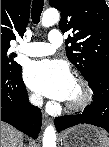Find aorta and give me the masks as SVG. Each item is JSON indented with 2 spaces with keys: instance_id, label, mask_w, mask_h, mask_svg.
<instances>
[{
  "instance_id": "1",
  "label": "aorta",
  "mask_w": 109,
  "mask_h": 147,
  "mask_svg": "<svg viewBox=\"0 0 109 147\" xmlns=\"http://www.w3.org/2000/svg\"><path fill=\"white\" fill-rule=\"evenodd\" d=\"M60 19V14L57 9L49 8L42 16V26L50 27L57 23ZM43 147H56V133L53 125H48L45 128L43 135Z\"/></svg>"
}]
</instances>
